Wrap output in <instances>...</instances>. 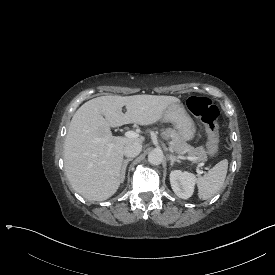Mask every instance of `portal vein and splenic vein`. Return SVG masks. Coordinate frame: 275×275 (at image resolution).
Returning a JSON list of instances; mask_svg holds the SVG:
<instances>
[{"label": "portal vein and splenic vein", "mask_w": 275, "mask_h": 275, "mask_svg": "<svg viewBox=\"0 0 275 275\" xmlns=\"http://www.w3.org/2000/svg\"><path fill=\"white\" fill-rule=\"evenodd\" d=\"M125 136H126L127 138H138V137H139V134L136 133L135 131H127V132L125 133ZM187 159L193 161V160H194V157H188ZM203 165H204V163L198 164L197 173H199V174L202 173V171L199 170V167H201V166H203Z\"/></svg>", "instance_id": "obj_1"}]
</instances>
